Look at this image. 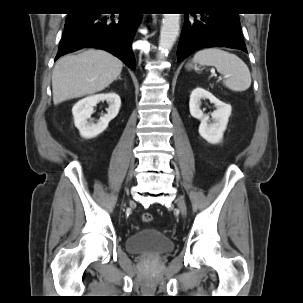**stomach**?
<instances>
[{
	"label": "stomach",
	"instance_id": "obj_1",
	"mask_svg": "<svg viewBox=\"0 0 303 303\" xmlns=\"http://www.w3.org/2000/svg\"><path fill=\"white\" fill-rule=\"evenodd\" d=\"M193 67L196 69V65L194 66L192 62H188V63L186 64V68H187L188 70H191Z\"/></svg>",
	"mask_w": 303,
	"mask_h": 303
}]
</instances>
